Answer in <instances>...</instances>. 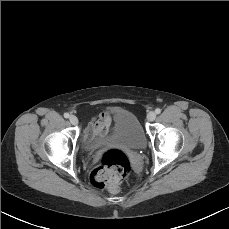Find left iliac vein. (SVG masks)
I'll return each instance as SVG.
<instances>
[{
	"label": "left iliac vein",
	"mask_w": 229,
	"mask_h": 229,
	"mask_svg": "<svg viewBox=\"0 0 229 229\" xmlns=\"http://www.w3.org/2000/svg\"><path fill=\"white\" fill-rule=\"evenodd\" d=\"M155 118H156V113L154 111H150L147 115V120L151 122L155 120Z\"/></svg>",
	"instance_id": "obj_1"
}]
</instances>
